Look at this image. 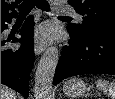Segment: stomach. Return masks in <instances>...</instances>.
Returning <instances> with one entry per match:
<instances>
[{
  "mask_svg": "<svg viewBox=\"0 0 115 99\" xmlns=\"http://www.w3.org/2000/svg\"><path fill=\"white\" fill-rule=\"evenodd\" d=\"M63 90L65 94H67L71 98H77L85 94V92L89 90V87L81 79L73 78L68 80L64 84Z\"/></svg>",
  "mask_w": 115,
  "mask_h": 99,
  "instance_id": "0dacf381",
  "label": "stomach"
}]
</instances>
